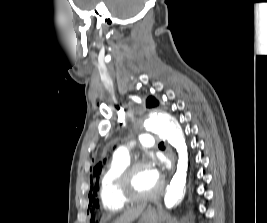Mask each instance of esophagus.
I'll list each match as a JSON object with an SVG mask.
<instances>
[{"label":"esophagus","instance_id":"1","mask_svg":"<svg viewBox=\"0 0 267 223\" xmlns=\"http://www.w3.org/2000/svg\"><path fill=\"white\" fill-rule=\"evenodd\" d=\"M168 156H169V159L172 162V172H173L174 167H175V156H174V153L172 152L171 149H168Z\"/></svg>","mask_w":267,"mask_h":223}]
</instances>
